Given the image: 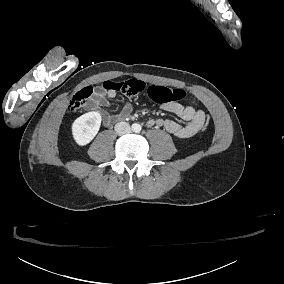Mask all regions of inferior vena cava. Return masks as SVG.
Segmentation results:
<instances>
[{"label":"inferior vena cava","mask_w":284,"mask_h":284,"mask_svg":"<svg viewBox=\"0 0 284 284\" xmlns=\"http://www.w3.org/2000/svg\"><path fill=\"white\" fill-rule=\"evenodd\" d=\"M115 131L119 135L129 134L131 132V127L127 122H119L115 125Z\"/></svg>","instance_id":"obj_1"}]
</instances>
